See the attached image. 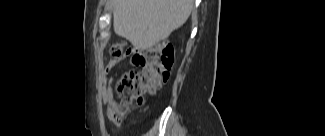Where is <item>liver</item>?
Instances as JSON below:
<instances>
[{"label":"liver","mask_w":325,"mask_h":136,"mask_svg":"<svg viewBox=\"0 0 325 136\" xmlns=\"http://www.w3.org/2000/svg\"><path fill=\"white\" fill-rule=\"evenodd\" d=\"M193 0H114V32L138 50H147L181 27Z\"/></svg>","instance_id":"liver-1"}]
</instances>
